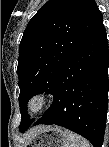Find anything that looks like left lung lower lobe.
<instances>
[{
    "label": "left lung lower lobe",
    "instance_id": "left-lung-lower-lobe-1",
    "mask_svg": "<svg viewBox=\"0 0 109 147\" xmlns=\"http://www.w3.org/2000/svg\"><path fill=\"white\" fill-rule=\"evenodd\" d=\"M108 68V42L102 20L64 65L52 93L53 104L34 126H62L85 137L94 147H101L108 109Z\"/></svg>",
    "mask_w": 109,
    "mask_h": 147
}]
</instances>
